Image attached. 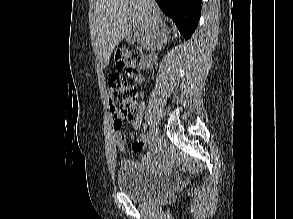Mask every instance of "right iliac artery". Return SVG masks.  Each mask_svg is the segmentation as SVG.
I'll return each mask as SVG.
<instances>
[{
	"label": "right iliac artery",
	"mask_w": 293,
	"mask_h": 219,
	"mask_svg": "<svg viewBox=\"0 0 293 219\" xmlns=\"http://www.w3.org/2000/svg\"><path fill=\"white\" fill-rule=\"evenodd\" d=\"M147 138L150 137V131L146 133Z\"/></svg>",
	"instance_id": "right-iliac-artery-1"
}]
</instances>
